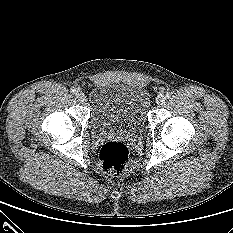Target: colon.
<instances>
[{
	"mask_svg": "<svg viewBox=\"0 0 233 233\" xmlns=\"http://www.w3.org/2000/svg\"><path fill=\"white\" fill-rule=\"evenodd\" d=\"M98 161L104 174L110 177H118L128 169V148L120 141H109L102 146Z\"/></svg>",
	"mask_w": 233,
	"mask_h": 233,
	"instance_id": "colon-1",
	"label": "colon"
}]
</instances>
